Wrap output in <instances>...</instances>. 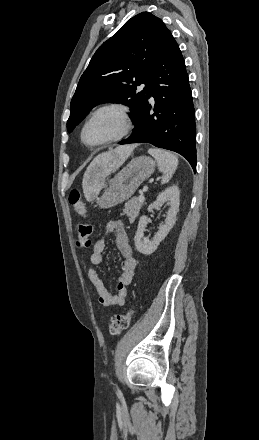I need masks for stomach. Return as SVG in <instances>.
Segmentation results:
<instances>
[{
  "instance_id": "1",
  "label": "stomach",
  "mask_w": 259,
  "mask_h": 440,
  "mask_svg": "<svg viewBox=\"0 0 259 440\" xmlns=\"http://www.w3.org/2000/svg\"><path fill=\"white\" fill-rule=\"evenodd\" d=\"M155 161L148 156L132 159L113 179L98 201L101 208H110L129 199L155 170Z\"/></svg>"
}]
</instances>
